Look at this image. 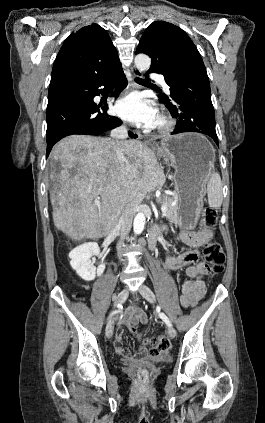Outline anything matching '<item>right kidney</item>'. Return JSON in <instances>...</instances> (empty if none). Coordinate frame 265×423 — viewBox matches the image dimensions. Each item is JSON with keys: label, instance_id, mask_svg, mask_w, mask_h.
Returning a JSON list of instances; mask_svg holds the SVG:
<instances>
[{"label": "right kidney", "instance_id": "obj_1", "mask_svg": "<svg viewBox=\"0 0 265 423\" xmlns=\"http://www.w3.org/2000/svg\"><path fill=\"white\" fill-rule=\"evenodd\" d=\"M99 254L100 249L96 242L84 243L69 253L70 265L83 280L92 281L96 276H101L105 270V264L96 268L90 261L92 255Z\"/></svg>", "mask_w": 265, "mask_h": 423}]
</instances>
